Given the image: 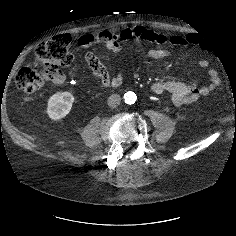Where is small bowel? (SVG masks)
Listing matches in <instances>:
<instances>
[{
	"mask_svg": "<svg viewBox=\"0 0 236 236\" xmlns=\"http://www.w3.org/2000/svg\"><path fill=\"white\" fill-rule=\"evenodd\" d=\"M131 39L155 43L159 48L152 49L148 55L153 59H163L171 54V50L167 46L186 47L189 45H199L202 43L201 37L196 33L187 35H173L156 33L146 27L122 28L118 32H111L109 30L101 31L97 35L84 34L78 39L79 45L83 47L92 44L104 45L109 51L118 53L121 51V43ZM86 63L104 85L117 86L122 82L121 74H116L110 78L104 65L100 62L98 57L89 52L85 55ZM199 67L207 68L209 62L202 59L198 62ZM209 83L206 85L189 84L180 81H156L150 85V90L153 93H169L172 101L176 106H182L192 103L201 97L207 96L214 91L220 84V76L216 70H209ZM64 81L63 76L52 81L53 85H59Z\"/></svg>",
	"mask_w": 236,
	"mask_h": 236,
	"instance_id": "small-bowel-1",
	"label": "small bowel"
}]
</instances>
